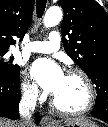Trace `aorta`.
I'll list each match as a JSON object with an SVG mask.
<instances>
[{
  "label": "aorta",
  "mask_w": 108,
  "mask_h": 127,
  "mask_svg": "<svg viewBox=\"0 0 108 127\" xmlns=\"http://www.w3.org/2000/svg\"><path fill=\"white\" fill-rule=\"evenodd\" d=\"M63 17V13L62 10L57 7V6H53L50 7L44 16V26L49 28V27H54L57 24H59V22L62 20Z\"/></svg>",
  "instance_id": "obj_1"
}]
</instances>
